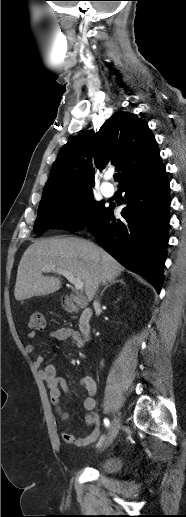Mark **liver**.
I'll return each instance as SVG.
<instances>
[{
  "label": "liver",
  "instance_id": "1",
  "mask_svg": "<svg viewBox=\"0 0 186 517\" xmlns=\"http://www.w3.org/2000/svg\"><path fill=\"white\" fill-rule=\"evenodd\" d=\"M55 266L71 272L84 283L88 301L101 282L119 276L124 267L108 252L85 239L48 238L37 240L24 252L17 270L14 296L23 301L60 289L59 278L43 276V268Z\"/></svg>",
  "mask_w": 186,
  "mask_h": 517
}]
</instances>
